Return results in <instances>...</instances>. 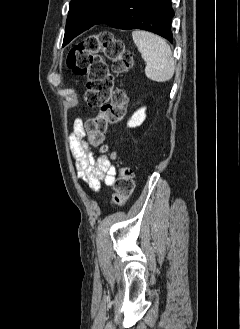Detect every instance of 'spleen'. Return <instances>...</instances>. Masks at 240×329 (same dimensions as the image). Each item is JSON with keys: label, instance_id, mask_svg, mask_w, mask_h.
Segmentation results:
<instances>
[{"label": "spleen", "instance_id": "spleen-1", "mask_svg": "<svg viewBox=\"0 0 240 329\" xmlns=\"http://www.w3.org/2000/svg\"><path fill=\"white\" fill-rule=\"evenodd\" d=\"M132 38L146 63L145 75L156 82L169 81L175 71V61L167 42L147 31H133Z\"/></svg>", "mask_w": 240, "mask_h": 329}]
</instances>
